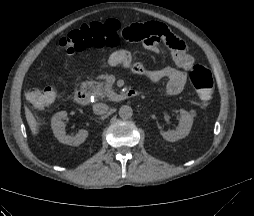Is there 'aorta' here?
Instances as JSON below:
<instances>
[{
	"instance_id": "1",
	"label": "aorta",
	"mask_w": 254,
	"mask_h": 216,
	"mask_svg": "<svg viewBox=\"0 0 254 216\" xmlns=\"http://www.w3.org/2000/svg\"><path fill=\"white\" fill-rule=\"evenodd\" d=\"M133 115V110L129 105H123L119 109V116L122 119H130Z\"/></svg>"
}]
</instances>
